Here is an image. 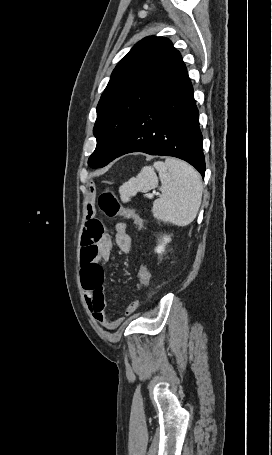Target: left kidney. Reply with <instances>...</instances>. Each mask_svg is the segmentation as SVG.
Segmentation results:
<instances>
[{
  "mask_svg": "<svg viewBox=\"0 0 272 455\" xmlns=\"http://www.w3.org/2000/svg\"><path fill=\"white\" fill-rule=\"evenodd\" d=\"M170 241H171V237L164 235L161 243L156 247L155 252L158 254H161L162 252H164L166 244L169 243Z\"/></svg>",
  "mask_w": 272,
  "mask_h": 455,
  "instance_id": "5707ae66",
  "label": "left kidney"
}]
</instances>
